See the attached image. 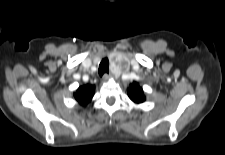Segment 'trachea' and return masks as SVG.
<instances>
[{
    "label": "trachea",
    "instance_id": "obj_1",
    "mask_svg": "<svg viewBox=\"0 0 225 155\" xmlns=\"http://www.w3.org/2000/svg\"><path fill=\"white\" fill-rule=\"evenodd\" d=\"M109 68V60L108 58H104L99 65V75L102 76L105 73H108Z\"/></svg>",
    "mask_w": 225,
    "mask_h": 155
}]
</instances>
